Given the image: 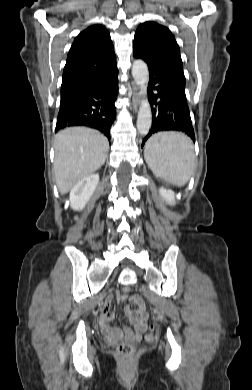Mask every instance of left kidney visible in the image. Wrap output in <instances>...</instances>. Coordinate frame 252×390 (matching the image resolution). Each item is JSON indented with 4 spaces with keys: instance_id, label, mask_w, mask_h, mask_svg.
I'll return each instance as SVG.
<instances>
[{
    "instance_id": "obj_1",
    "label": "left kidney",
    "mask_w": 252,
    "mask_h": 390,
    "mask_svg": "<svg viewBox=\"0 0 252 390\" xmlns=\"http://www.w3.org/2000/svg\"><path fill=\"white\" fill-rule=\"evenodd\" d=\"M160 194L168 202L170 205L175 204V197L174 193L171 190H166L165 188L161 187L160 188Z\"/></svg>"
}]
</instances>
